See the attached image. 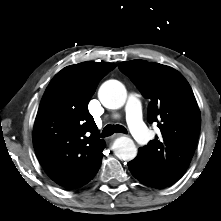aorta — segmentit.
I'll return each mask as SVG.
<instances>
[{"label":"aorta","instance_id":"1","mask_svg":"<svg viewBox=\"0 0 221 221\" xmlns=\"http://www.w3.org/2000/svg\"><path fill=\"white\" fill-rule=\"evenodd\" d=\"M98 98L104 107L119 109L125 104L127 92L120 81L108 80L100 86ZM112 149L120 160L130 161L137 156V148L133 140L128 137L116 139Z\"/></svg>","mask_w":221,"mask_h":221}]
</instances>
